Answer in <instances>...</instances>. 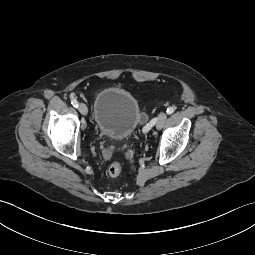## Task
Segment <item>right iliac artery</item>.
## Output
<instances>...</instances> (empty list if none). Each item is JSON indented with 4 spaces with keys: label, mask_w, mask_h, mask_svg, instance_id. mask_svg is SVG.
<instances>
[{
    "label": "right iliac artery",
    "mask_w": 255,
    "mask_h": 255,
    "mask_svg": "<svg viewBox=\"0 0 255 255\" xmlns=\"http://www.w3.org/2000/svg\"><path fill=\"white\" fill-rule=\"evenodd\" d=\"M71 104L73 105V107L77 108L78 107V101L75 99L71 100Z\"/></svg>",
    "instance_id": "1"
}]
</instances>
